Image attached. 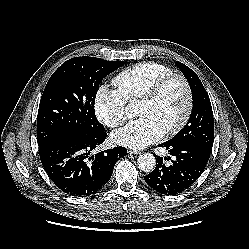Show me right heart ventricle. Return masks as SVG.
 <instances>
[{
    "mask_svg": "<svg viewBox=\"0 0 249 249\" xmlns=\"http://www.w3.org/2000/svg\"><path fill=\"white\" fill-rule=\"evenodd\" d=\"M172 73L173 70L166 65L142 62L121 71L113 79V84L127 102L140 98L156 81Z\"/></svg>",
    "mask_w": 249,
    "mask_h": 249,
    "instance_id": "1",
    "label": "right heart ventricle"
}]
</instances>
